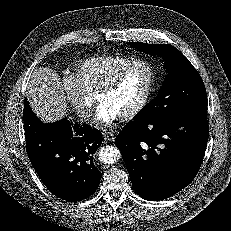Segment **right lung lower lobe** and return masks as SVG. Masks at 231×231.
Returning <instances> with one entry per match:
<instances>
[{
	"label": "right lung lower lobe",
	"mask_w": 231,
	"mask_h": 231,
	"mask_svg": "<svg viewBox=\"0 0 231 231\" xmlns=\"http://www.w3.org/2000/svg\"><path fill=\"white\" fill-rule=\"evenodd\" d=\"M23 115L26 151L48 190L70 202L92 195L101 179L93 154L102 143V133L66 118L55 123H43L26 99Z\"/></svg>",
	"instance_id": "1"
}]
</instances>
